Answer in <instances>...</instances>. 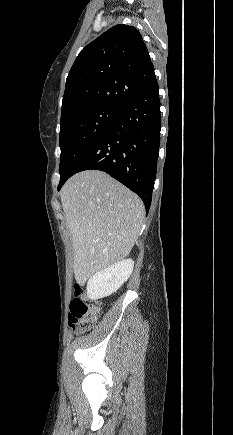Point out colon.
I'll use <instances>...</instances> for the list:
<instances>
[{"mask_svg": "<svg viewBox=\"0 0 233 435\" xmlns=\"http://www.w3.org/2000/svg\"><path fill=\"white\" fill-rule=\"evenodd\" d=\"M84 294L83 284H75L69 322L73 332L76 334L90 331L95 326L99 317V307L87 305L83 298Z\"/></svg>", "mask_w": 233, "mask_h": 435, "instance_id": "1", "label": "colon"}]
</instances>
